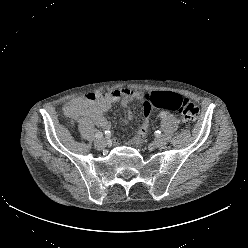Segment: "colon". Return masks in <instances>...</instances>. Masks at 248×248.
<instances>
[{
    "label": "colon",
    "instance_id": "colon-1",
    "mask_svg": "<svg viewBox=\"0 0 248 248\" xmlns=\"http://www.w3.org/2000/svg\"><path fill=\"white\" fill-rule=\"evenodd\" d=\"M144 117L136 138L137 144H142L149 133V116L152 109L178 111L187 123L195 122L199 116L198 107L188 99L172 92H152L144 99Z\"/></svg>",
    "mask_w": 248,
    "mask_h": 248
}]
</instances>
